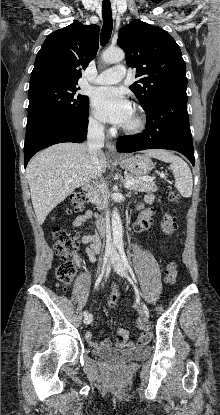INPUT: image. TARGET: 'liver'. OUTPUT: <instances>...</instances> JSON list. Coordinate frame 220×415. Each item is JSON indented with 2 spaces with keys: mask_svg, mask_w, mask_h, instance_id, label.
I'll return each mask as SVG.
<instances>
[{
  "mask_svg": "<svg viewBox=\"0 0 220 415\" xmlns=\"http://www.w3.org/2000/svg\"><path fill=\"white\" fill-rule=\"evenodd\" d=\"M98 160L101 174L105 173L107 160L102 150ZM26 176L39 224L76 188L97 177L86 143H59L41 151L29 162Z\"/></svg>",
  "mask_w": 220,
  "mask_h": 415,
  "instance_id": "6515ba94",
  "label": "liver"
}]
</instances>
